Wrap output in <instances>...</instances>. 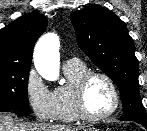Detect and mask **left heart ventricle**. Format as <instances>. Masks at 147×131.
Instances as JSON below:
<instances>
[{
  "instance_id": "obj_1",
  "label": "left heart ventricle",
  "mask_w": 147,
  "mask_h": 131,
  "mask_svg": "<svg viewBox=\"0 0 147 131\" xmlns=\"http://www.w3.org/2000/svg\"><path fill=\"white\" fill-rule=\"evenodd\" d=\"M85 103L92 115H103L113 104V95L108 83L101 77H93L86 86Z\"/></svg>"
}]
</instances>
